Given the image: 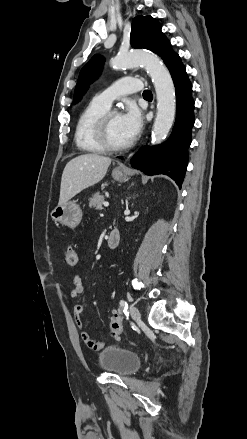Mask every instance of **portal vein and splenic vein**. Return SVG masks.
Here are the masks:
<instances>
[{"label":"portal vein and splenic vein","mask_w":247,"mask_h":439,"mask_svg":"<svg viewBox=\"0 0 247 439\" xmlns=\"http://www.w3.org/2000/svg\"><path fill=\"white\" fill-rule=\"evenodd\" d=\"M103 205H104L105 207H108V206H109V202H104Z\"/></svg>","instance_id":"obj_1"}]
</instances>
